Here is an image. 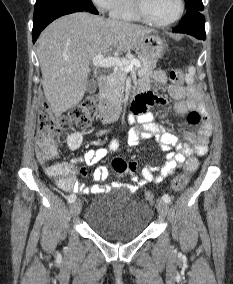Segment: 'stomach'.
<instances>
[{"instance_id":"stomach-1","label":"stomach","mask_w":233,"mask_h":284,"mask_svg":"<svg viewBox=\"0 0 233 284\" xmlns=\"http://www.w3.org/2000/svg\"><path fill=\"white\" fill-rule=\"evenodd\" d=\"M139 47L143 57L156 62L165 51V41L159 35L149 34L142 40Z\"/></svg>"}]
</instances>
